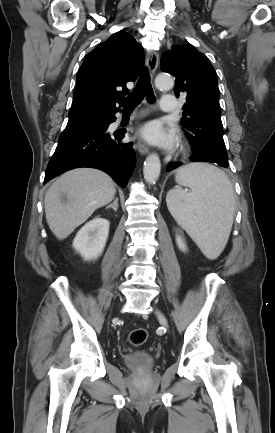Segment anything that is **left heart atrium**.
Masks as SVG:
<instances>
[{"label": "left heart atrium", "instance_id": "39dd6f15", "mask_svg": "<svg viewBox=\"0 0 275 433\" xmlns=\"http://www.w3.org/2000/svg\"><path fill=\"white\" fill-rule=\"evenodd\" d=\"M140 135L146 141L163 147H171L176 141L174 130L164 129L157 121H151L145 124L140 131Z\"/></svg>", "mask_w": 275, "mask_h": 433}]
</instances>
